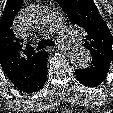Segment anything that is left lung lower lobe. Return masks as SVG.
I'll list each match as a JSON object with an SVG mask.
<instances>
[{"instance_id": "1", "label": "left lung lower lobe", "mask_w": 113, "mask_h": 113, "mask_svg": "<svg viewBox=\"0 0 113 113\" xmlns=\"http://www.w3.org/2000/svg\"><path fill=\"white\" fill-rule=\"evenodd\" d=\"M110 64L97 57H92L90 66L85 69H76L77 80L88 87L100 85L107 77Z\"/></svg>"}]
</instances>
